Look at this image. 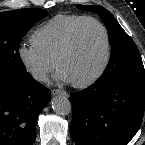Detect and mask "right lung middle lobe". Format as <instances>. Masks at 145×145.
Segmentation results:
<instances>
[{
    "label": "right lung middle lobe",
    "instance_id": "right-lung-middle-lobe-1",
    "mask_svg": "<svg viewBox=\"0 0 145 145\" xmlns=\"http://www.w3.org/2000/svg\"><path fill=\"white\" fill-rule=\"evenodd\" d=\"M47 14L44 9L34 8L0 13V82L27 76L19 55V44L28 30Z\"/></svg>",
    "mask_w": 145,
    "mask_h": 145
}]
</instances>
